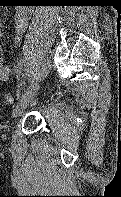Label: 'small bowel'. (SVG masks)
I'll return each instance as SVG.
<instances>
[{
    "label": "small bowel",
    "instance_id": "small-bowel-1",
    "mask_svg": "<svg viewBox=\"0 0 121 197\" xmlns=\"http://www.w3.org/2000/svg\"><path fill=\"white\" fill-rule=\"evenodd\" d=\"M30 10L27 8L19 7L16 9L15 13V26H14V39L13 43L15 46H19L22 40V35L26 30L28 21L30 19ZM1 26H2V20L0 17V38H1ZM12 72V69L8 65H4L2 56L0 54V82L6 81L10 74Z\"/></svg>",
    "mask_w": 121,
    "mask_h": 197
}]
</instances>
